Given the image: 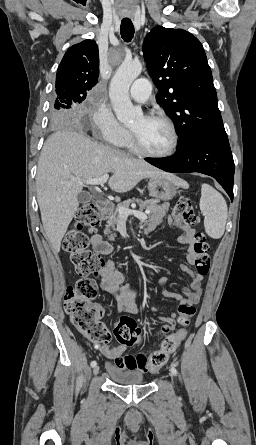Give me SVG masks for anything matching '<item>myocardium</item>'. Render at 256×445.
Here are the masks:
<instances>
[{
	"label": "myocardium",
	"instance_id": "myocardium-1",
	"mask_svg": "<svg viewBox=\"0 0 256 445\" xmlns=\"http://www.w3.org/2000/svg\"><path fill=\"white\" fill-rule=\"evenodd\" d=\"M144 118L147 120L161 121L164 124H166L171 132V137H172L171 145H170L169 149L165 152H162V153L151 152V151L147 150L141 144L138 136L132 130H130L131 142H132V145H133L135 151H137L139 154H141L143 156L150 157V158H157V159L168 158V157L172 156L176 152L178 143H179L178 132H177L176 126L173 123V121L169 117H167L163 114H158V113L147 114L144 116Z\"/></svg>",
	"mask_w": 256,
	"mask_h": 445
}]
</instances>
